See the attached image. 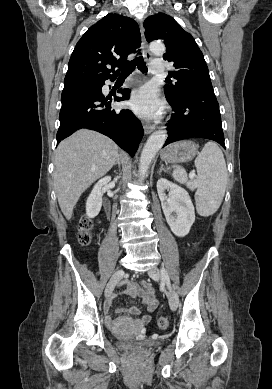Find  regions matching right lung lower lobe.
Here are the masks:
<instances>
[{
	"mask_svg": "<svg viewBox=\"0 0 272 389\" xmlns=\"http://www.w3.org/2000/svg\"><path fill=\"white\" fill-rule=\"evenodd\" d=\"M103 85L64 87L57 144L77 129L88 128L107 135L134 156L144 134L142 125L130 110L112 109V101L128 100L130 90L120 89L122 97L105 96Z\"/></svg>",
	"mask_w": 272,
	"mask_h": 389,
	"instance_id": "98d812e1",
	"label": "right lung lower lobe"
}]
</instances>
